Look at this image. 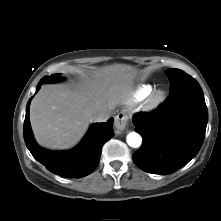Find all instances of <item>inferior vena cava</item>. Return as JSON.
Wrapping results in <instances>:
<instances>
[{"label":"inferior vena cava","mask_w":221,"mask_h":221,"mask_svg":"<svg viewBox=\"0 0 221 221\" xmlns=\"http://www.w3.org/2000/svg\"><path fill=\"white\" fill-rule=\"evenodd\" d=\"M110 113L111 111L109 110L96 112L90 117V121L91 122H105L109 119Z\"/></svg>","instance_id":"inferior-vena-cava-1"}]
</instances>
